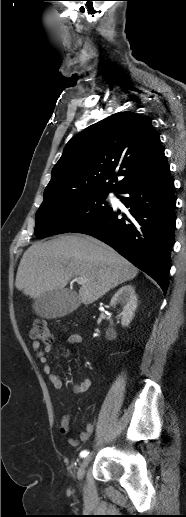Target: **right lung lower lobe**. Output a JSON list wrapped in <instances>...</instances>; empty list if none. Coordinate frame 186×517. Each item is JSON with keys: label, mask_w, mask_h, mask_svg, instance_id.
Masks as SVG:
<instances>
[{"label": "right lung lower lobe", "mask_w": 186, "mask_h": 517, "mask_svg": "<svg viewBox=\"0 0 186 517\" xmlns=\"http://www.w3.org/2000/svg\"><path fill=\"white\" fill-rule=\"evenodd\" d=\"M129 216L119 217L113 208L75 229L113 247L136 267L151 276L166 293L174 245V181L167 165L159 173L142 179L121 192Z\"/></svg>", "instance_id": "obj_1"}]
</instances>
